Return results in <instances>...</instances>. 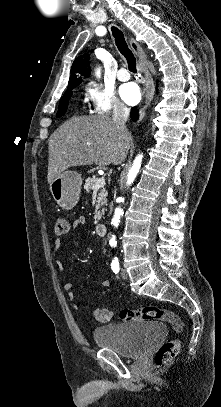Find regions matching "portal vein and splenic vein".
<instances>
[{"instance_id":"18ae733b","label":"portal vein and splenic vein","mask_w":221,"mask_h":407,"mask_svg":"<svg viewBox=\"0 0 221 407\" xmlns=\"http://www.w3.org/2000/svg\"><path fill=\"white\" fill-rule=\"evenodd\" d=\"M105 185V178L102 176L100 177L95 183V189H99Z\"/></svg>"}]
</instances>
